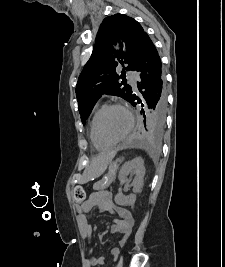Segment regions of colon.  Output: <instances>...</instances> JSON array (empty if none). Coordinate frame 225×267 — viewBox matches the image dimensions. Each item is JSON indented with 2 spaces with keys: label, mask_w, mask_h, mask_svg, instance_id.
I'll return each instance as SVG.
<instances>
[{
  "label": "colon",
  "mask_w": 225,
  "mask_h": 267,
  "mask_svg": "<svg viewBox=\"0 0 225 267\" xmlns=\"http://www.w3.org/2000/svg\"><path fill=\"white\" fill-rule=\"evenodd\" d=\"M85 199V191L81 186H76L73 189V200L77 205L82 204Z\"/></svg>",
  "instance_id": "obj_1"
}]
</instances>
